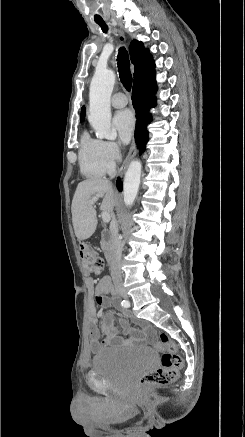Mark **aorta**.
Instances as JSON below:
<instances>
[{
    "instance_id": "1",
    "label": "aorta",
    "mask_w": 245,
    "mask_h": 437,
    "mask_svg": "<svg viewBox=\"0 0 245 437\" xmlns=\"http://www.w3.org/2000/svg\"><path fill=\"white\" fill-rule=\"evenodd\" d=\"M115 84V74L110 69H97L89 91L88 120L100 139L114 140L116 130L111 127L110 98ZM141 162L134 160L129 165L123 183L124 203L131 207L137 196L141 177Z\"/></svg>"
}]
</instances>
